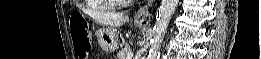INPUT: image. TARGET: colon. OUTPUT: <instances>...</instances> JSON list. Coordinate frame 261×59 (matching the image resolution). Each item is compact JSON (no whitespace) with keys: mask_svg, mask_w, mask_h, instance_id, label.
Segmentation results:
<instances>
[{"mask_svg":"<svg viewBox=\"0 0 261 59\" xmlns=\"http://www.w3.org/2000/svg\"><path fill=\"white\" fill-rule=\"evenodd\" d=\"M70 28L75 52L82 59L88 58L90 38L87 29L83 24H77L75 20L71 22Z\"/></svg>","mask_w":261,"mask_h":59,"instance_id":"1","label":"colon"}]
</instances>
